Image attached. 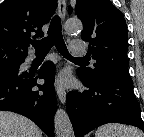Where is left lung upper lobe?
<instances>
[{
	"label": "left lung upper lobe",
	"instance_id": "left-lung-upper-lobe-1",
	"mask_svg": "<svg viewBox=\"0 0 144 137\" xmlns=\"http://www.w3.org/2000/svg\"><path fill=\"white\" fill-rule=\"evenodd\" d=\"M68 13H72L69 7ZM75 13L83 23L81 38L89 42L94 68H78L85 80L108 75L132 82L128 71V31L123 14L109 0H77Z\"/></svg>",
	"mask_w": 144,
	"mask_h": 137
}]
</instances>
